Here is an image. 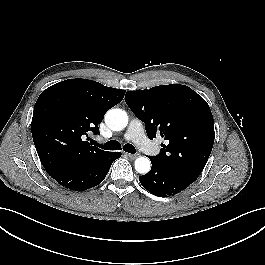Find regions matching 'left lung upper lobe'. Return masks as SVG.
I'll return each instance as SVG.
<instances>
[{
  "instance_id": "left-lung-upper-lobe-1",
  "label": "left lung upper lobe",
  "mask_w": 265,
  "mask_h": 265,
  "mask_svg": "<svg viewBox=\"0 0 265 265\" xmlns=\"http://www.w3.org/2000/svg\"><path fill=\"white\" fill-rule=\"evenodd\" d=\"M125 102L145 123L150 139L160 134L167 145L151 158L192 180L205 167L214 144V120L207 102L185 85L170 84L128 91Z\"/></svg>"
}]
</instances>
